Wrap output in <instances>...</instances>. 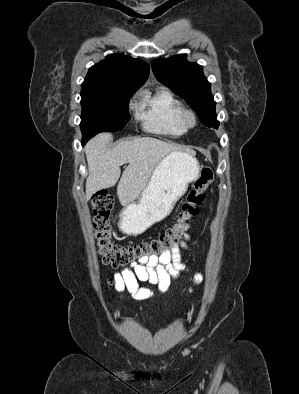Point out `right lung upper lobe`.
Returning a JSON list of instances; mask_svg holds the SVG:
<instances>
[{
    "instance_id": "right-lung-upper-lobe-1",
    "label": "right lung upper lobe",
    "mask_w": 299,
    "mask_h": 394,
    "mask_svg": "<svg viewBox=\"0 0 299 394\" xmlns=\"http://www.w3.org/2000/svg\"><path fill=\"white\" fill-rule=\"evenodd\" d=\"M149 76V66L124 54L107 55L89 68L81 91L138 90Z\"/></svg>"
}]
</instances>
